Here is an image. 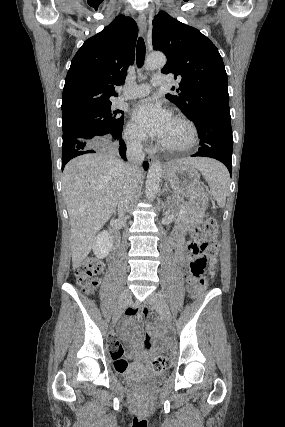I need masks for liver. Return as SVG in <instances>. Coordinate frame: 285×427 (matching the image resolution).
<instances>
[{
  "label": "liver",
  "mask_w": 285,
  "mask_h": 427,
  "mask_svg": "<svg viewBox=\"0 0 285 427\" xmlns=\"http://www.w3.org/2000/svg\"><path fill=\"white\" fill-rule=\"evenodd\" d=\"M175 162L191 165L201 172L214 163L206 158ZM125 166L112 152L102 151L79 156L64 168L62 192L71 225L74 270L93 249L96 233L116 210ZM141 177L142 172L137 176L138 182Z\"/></svg>",
  "instance_id": "liver-1"
}]
</instances>
